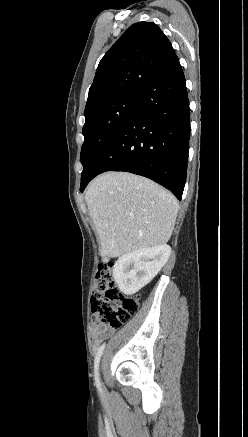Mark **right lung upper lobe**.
<instances>
[{
  "label": "right lung upper lobe",
  "mask_w": 248,
  "mask_h": 437,
  "mask_svg": "<svg viewBox=\"0 0 248 437\" xmlns=\"http://www.w3.org/2000/svg\"><path fill=\"white\" fill-rule=\"evenodd\" d=\"M175 57L170 41L156 24H133L100 61L84 115L121 95L138 94Z\"/></svg>",
  "instance_id": "right-lung-upper-lobe-1"
}]
</instances>
